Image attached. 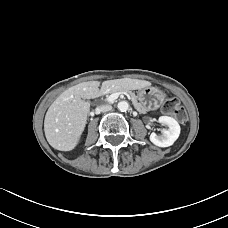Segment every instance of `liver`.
I'll return each mask as SVG.
<instances>
[{
    "mask_svg": "<svg viewBox=\"0 0 228 228\" xmlns=\"http://www.w3.org/2000/svg\"><path fill=\"white\" fill-rule=\"evenodd\" d=\"M150 85L145 80L116 79L104 81L100 90L99 81L82 82L66 89L50 105L45 115L44 132L48 143L60 151H71L76 147L90 112V103L82 99L96 98L123 87L141 89Z\"/></svg>",
    "mask_w": 228,
    "mask_h": 228,
    "instance_id": "liver-1",
    "label": "liver"
}]
</instances>
